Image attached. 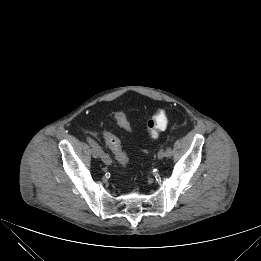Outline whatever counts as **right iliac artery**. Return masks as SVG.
<instances>
[{
  "label": "right iliac artery",
  "mask_w": 261,
  "mask_h": 261,
  "mask_svg": "<svg viewBox=\"0 0 261 261\" xmlns=\"http://www.w3.org/2000/svg\"><path fill=\"white\" fill-rule=\"evenodd\" d=\"M87 142L90 144L91 147H93L99 154L101 160L107 164L110 165L112 163L111 158L108 154H106L101 147L90 137H86Z\"/></svg>",
  "instance_id": "82829eb1"
}]
</instances>
